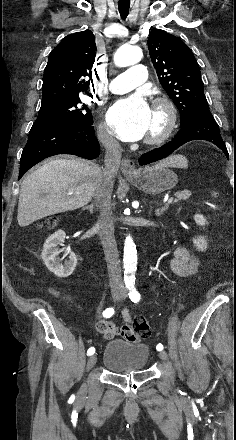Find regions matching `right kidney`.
<instances>
[{"mask_svg":"<svg viewBox=\"0 0 236 440\" xmlns=\"http://www.w3.org/2000/svg\"><path fill=\"white\" fill-rule=\"evenodd\" d=\"M65 236L66 234L63 230H58L52 234L45 241L41 253L46 267L59 278L70 276L77 265V258L74 252L70 249H59V246H63ZM63 251L65 252L64 257L68 256L69 258L65 260L64 264L61 263L59 258V254Z\"/></svg>","mask_w":236,"mask_h":440,"instance_id":"right-kidney-1","label":"right kidney"}]
</instances>
